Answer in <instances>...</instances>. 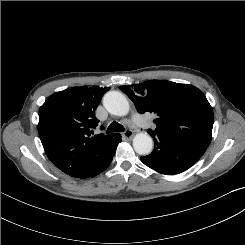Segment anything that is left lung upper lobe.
<instances>
[{
  "instance_id": "left-lung-upper-lobe-1",
  "label": "left lung upper lobe",
  "mask_w": 245,
  "mask_h": 245,
  "mask_svg": "<svg viewBox=\"0 0 245 245\" xmlns=\"http://www.w3.org/2000/svg\"><path fill=\"white\" fill-rule=\"evenodd\" d=\"M141 114H156L155 130L149 133L182 137L209 146L214 122L213 109L196 87L164 80H149L120 86Z\"/></svg>"
}]
</instances>
